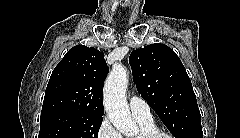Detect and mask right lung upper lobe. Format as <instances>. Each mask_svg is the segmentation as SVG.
I'll return each mask as SVG.
<instances>
[{
    "instance_id": "obj_1",
    "label": "right lung upper lobe",
    "mask_w": 240,
    "mask_h": 138,
    "mask_svg": "<svg viewBox=\"0 0 240 138\" xmlns=\"http://www.w3.org/2000/svg\"><path fill=\"white\" fill-rule=\"evenodd\" d=\"M108 71L103 52L84 45L71 48L51 74L41 116L71 112L102 117Z\"/></svg>"
}]
</instances>
